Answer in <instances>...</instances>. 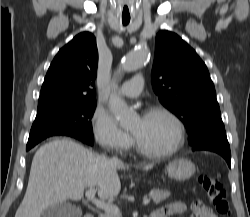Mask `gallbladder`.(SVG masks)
Returning <instances> with one entry per match:
<instances>
[{
    "label": "gallbladder",
    "mask_w": 250,
    "mask_h": 217,
    "mask_svg": "<svg viewBox=\"0 0 250 217\" xmlns=\"http://www.w3.org/2000/svg\"><path fill=\"white\" fill-rule=\"evenodd\" d=\"M82 210L70 203L61 202L49 206L42 213V217H81Z\"/></svg>",
    "instance_id": "obj_1"
}]
</instances>
